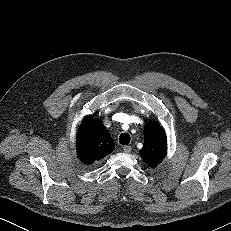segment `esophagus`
<instances>
[{
    "instance_id": "1",
    "label": "esophagus",
    "mask_w": 231,
    "mask_h": 231,
    "mask_svg": "<svg viewBox=\"0 0 231 231\" xmlns=\"http://www.w3.org/2000/svg\"><path fill=\"white\" fill-rule=\"evenodd\" d=\"M123 151H124L125 153H130V152L132 151V147H131V146H124V147H123Z\"/></svg>"
}]
</instances>
